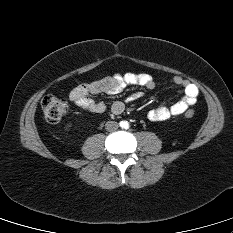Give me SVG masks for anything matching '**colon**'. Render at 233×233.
Instances as JSON below:
<instances>
[{
	"mask_svg": "<svg viewBox=\"0 0 233 233\" xmlns=\"http://www.w3.org/2000/svg\"><path fill=\"white\" fill-rule=\"evenodd\" d=\"M42 110L46 120L50 123L58 122L69 109L68 103L64 99L55 96H45L41 101ZM195 111L190 109L185 112L186 118H192Z\"/></svg>",
	"mask_w": 233,
	"mask_h": 233,
	"instance_id": "5ec220e1",
	"label": "colon"
}]
</instances>
